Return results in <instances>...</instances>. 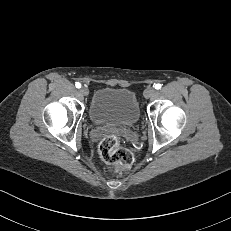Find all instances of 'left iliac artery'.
Returning a JSON list of instances; mask_svg holds the SVG:
<instances>
[{
    "instance_id": "left-iliac-artery-1",
    "label": "left iliac artery",
    "mask_w": 231,
    "mask_h": 231,
    "mask_svg": "<svg viewBox=\"0 0 231 231\" xmlns=\"http://www.w3.org/2000/svg\"><path fill=\"white\" fill-rule=\"evenodd\" d=\"M160 88H161V84L158 83L155 85V89H160Z\"/></svg>"
}]
</instances>
